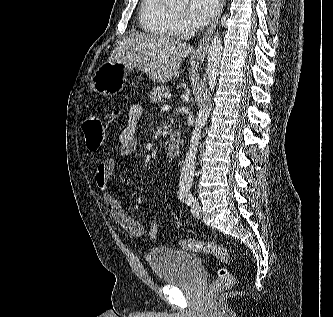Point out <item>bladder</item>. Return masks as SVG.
Returning a JSON list of instances; mask_svg holds the SVG:
<instances>
[{"mask_svg":"<svg viewBox=\"0 0 333 317\" xmlns=\"http://www.w3.org/2000/svg\"><path fill=\"white\" fill-rule=\"evenodd\" d=\"M146 261L156 280L166 285L191 284L203 266L200 256L169 247L151 249Z\"/></svg>","mask_w":333,"mask_h":317,"instance_id":"bladder-1","label":"bladder"}]
</instances>
